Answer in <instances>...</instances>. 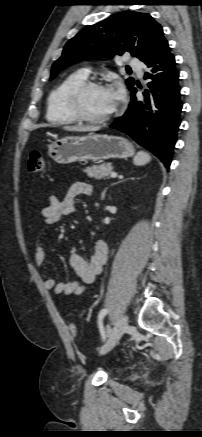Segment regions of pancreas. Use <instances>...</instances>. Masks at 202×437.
Here are the masks:
<instances>
[{
  "label": "pancreas",
  "mask_w": 202,
  "mask_h": 437,
  "mask_svg": "<svg viewBox=\"0 0 202 437\" xmlns=\"http://www.w3.org/2000/svg\"><path fill=\"white\" fill-rule=\"evenodd\" d=\"M113 170V167L110 163L95 165L92 167H88L84 170L88 177L94 178L96 180L104 179L109 177Z\"/></svg>",
  "instance_id": "1"
}]
</instances>
